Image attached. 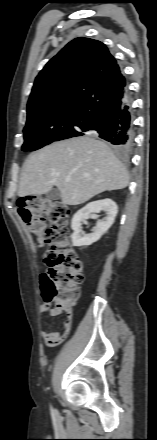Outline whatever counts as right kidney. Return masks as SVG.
Instances as JSON below:
<instances>
[{"mask_svg":"<svg viewBox=\"0 0 157 440\" xmlns=\"http://www.w3.org/2000/svg\"><path fill=\"white\" fill-rule=\"evenodd\" d=\"M100 211H104L106 216L102 220L97 221L93 233L82 235L81 221L88 218L92 213H99ZM117 212V204L109 198L90 202L81 208L75 213L71 222V228L73 229V234L71 236L73 245L81 247L89 246L97 242L114 223Z\"/></svg>","mask_w":157,"mask_h":440,"instance_id":"right-kidney-1","label":"right kidney"}]
</instances>
